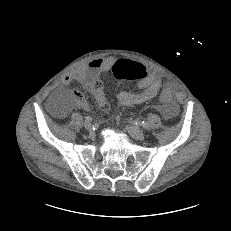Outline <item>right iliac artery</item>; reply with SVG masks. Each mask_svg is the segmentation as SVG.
<instances>
[{"mask_svg":"<svg viewBox=\"0 0 231 231\" xmlns=\"http://www.w3.org/2000/svg\"><path fill=\"white\" fill-rule=\"evenodd\" d=\"M85 121H86V122H91V121H92V118H91L90 116H86V117H85Z\"/></svg>","mask_w":231,"mask_h":231,"instance_id":"82829eb1","label":"right iliac artery"}]
</instances>
